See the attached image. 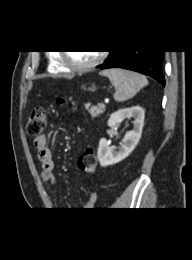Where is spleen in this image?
<instances>
[{"instance_id":"3e777b00","label":"spleen","mask_w":192,"mask_h":260,"mask_svg":"<svg viewBox=\"0 0 192 260\" xmlns=\"http://www.w3.org/2000/svg\"><path fill=\"white\" fill-rule=\"evenodd\" d=\"M100 75L109 78L111 84L116 88L114 99L117 102L126 101L136 95V93L148 85L145 76L124 69H106Z\"/></svg>"}]
</instances>
